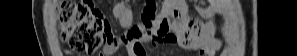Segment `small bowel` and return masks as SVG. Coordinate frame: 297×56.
Wrapping results in <instances>:
<instances>
[{
  "label": "small bowel",
  "mask_w": 297,
  "mask_h": 56,
  "mask_svg": "<svg viewBox=\"0 0 297 56\" xmlns=\"http://www.w3.org/2000/svg\"><path fill=\"white\" fill-rule=\"evenodd\" d=\"M199 3L201 7L197 8L198 13L207 16L209 12L205 9L206 3ZM188 10L189 3L186 0H165L161 12L156 14L155 3L149 1L144 8L141 24L133 26L130 7L124 3L116 4L114 15L128 30L120 36L112 37L100 55H113L124 47L131 56H147L145 44L158 46L162 42H170L194 51L199 56H214L223 45L222 38L212 37L217 22L203 23L190 19Z\"/></svg>",
  "instance_id": "1"
}]
</instances>
